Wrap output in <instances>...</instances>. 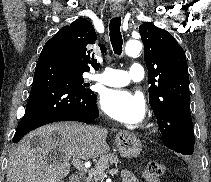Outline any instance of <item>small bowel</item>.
I'll list each match as a JSON object with an SVG mask.
<instances>
[{"label":"small bowel","instance_id":"1","mask_svg":"<svg viewBox=\"0 0 211 182\" xmlns=\"http://www.w3.org/2000/svg\"><path fill=\"white\" fill-rule=\"evenodd\" d=\"M123 182H138L137 178L129 171H124L122 174Z\"/></svg>","mask_w":211,"mask_h":182}]
</instances>
